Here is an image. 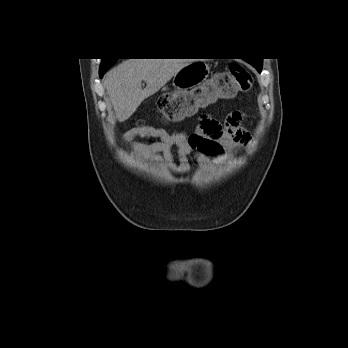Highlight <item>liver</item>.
Instances as JSON below:
<instances>
[{
    "mask_svg": "<svg viewBox=\"0 0 348 348\" xmlns=\"http://www.w3.org/2000/svg\"><path fill=\"white\" fill-rule=\"evenodd\" d=\"M189 63L184 59H127L110 70L104 86L118 121L127 120L144 99ZM142 81L146 83L144 89Z\"/></svg>",
    "mask_w": 348,
    "mask_h": 348,
    "instance_id": "obj_1",
    "label": "liver"
}]
</instances>
